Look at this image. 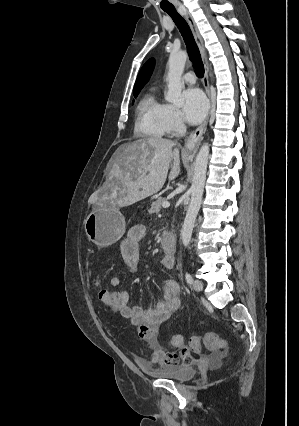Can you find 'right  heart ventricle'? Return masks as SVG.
Returning a JSON list of instances; mask_svg holds the SVG:
<instances>
[{
  "mask_svg": "<svg viewBox=\"0 0 299 426\" xmlns=\"http://www.w3.org/2000/svg\"><path fill=\"white\" fill-rule=\"evenodd\" d=\"M168 105L161 101L155 91L147 93L137 107L135 131L139 136L161 138L167 131Z\"/></svg>",
  "mask_w": 299,
  "mask_h": 426,
  "instance_id": "right-heart-ventricle-1",
  "label": "right heart ventricle"
}]
</instances>
